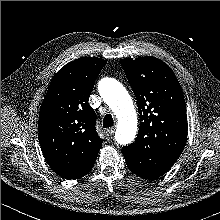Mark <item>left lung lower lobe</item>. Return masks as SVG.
Listing matches in <instances>:
<instances>
[{"label": "left lung lower lobe", "instance_id": "obj_1", "mask_svg": "<svg viewBox=\"0 0 220 220\" xmlns=\"http://www.w3.org/2000/svg\"><path fill=\"white\" fill-rule=\"evenodd\" d=\"M126 164L128 166V168L137 176L144 178V179H156L158 177H160L161 175H163L164 173L162 172H157L155 170H151V169H138L133 167V164H131L127 158H125Z\"/></svg>", "mask_w": 220, "mask_h": 220}]
</instances>
